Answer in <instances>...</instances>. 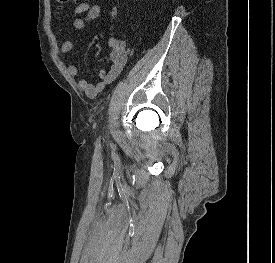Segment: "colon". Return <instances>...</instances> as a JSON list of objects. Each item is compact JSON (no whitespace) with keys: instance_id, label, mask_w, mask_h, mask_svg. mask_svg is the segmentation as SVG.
<instances>
[{"instance_id":"obj_1","label":"colon","mask_w":275,"mask_h":263,"mask_svg":"<svg viewBox=\"0 0 275 263\" xmlns=\"http://www.w3.org/2000/svg\"><path fill=\"white\" fill-rule=\"evenodd\" d=\"M70 1H71V0H57L58 4H59L60 6L65 5V4L69 3Z\"/></svg>"}]
</instances>
